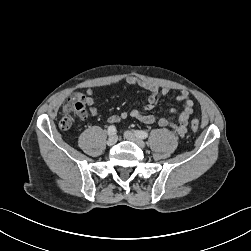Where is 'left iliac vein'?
<instances>
[{
    "label": "left iliac vein",
    "mask_w": 251,
    "mask_h": 251,
    "mask_svg": "<svg viewBox=\"0 0 251 251\" xmlns=\"http://www.w3.org/2000/svg\"><path fill=\"white\" fill-rule=\"evenodd\" d=\"M124 136L126 139L134 142L139 147H141V148L145 147V142L140 137H138L134 132L125 131Z\"/></svg>",
    "instance_id": "obj_1"
}]
</instances>
